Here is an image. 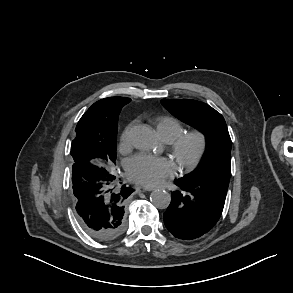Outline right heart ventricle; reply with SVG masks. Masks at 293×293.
<instances>
[{
    "label": "right heart ventricle",
    "instance_id": "right-heart-ventricle-1",
    "mask_svg": "<svg viewBox=\"0 0 293 293\" xmlns=\"http://www.w3.org/2000/svg\"><path fill=\"white\" fill-rule=\"evenodd\" d=\"M156 127L160 137L167 143L173 141L185 131L179 120L168 116L157 118Z\"/></svg>",
    "mask_w": 293,
    "mask_h": 293
}]
</instances>
